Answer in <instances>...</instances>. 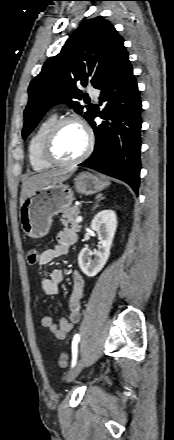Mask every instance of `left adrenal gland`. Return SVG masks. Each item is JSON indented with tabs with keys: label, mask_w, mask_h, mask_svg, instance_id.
Here are the masks:
<instances>
[{
	"label": "left adrenal gland",
	"mask_w": 174,
	"mask_h": 440,
	"mask_svg": "<svg viewBox=\"0 0 174 440\" xmlns=\"http://www.w3.org/2000/svg\"><path fill=\"white\" fill-rule=\"evenodd\" d=\"M96 199H97V201H96V203H95L93 209H96V208L99 206V202H100L101 200L105 199V197H103L102 194H99V195L96 196Z\"/></svg>",
	"instance_id": "obj_1"
}]
</instances>
